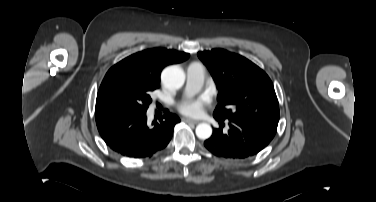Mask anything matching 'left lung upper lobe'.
I'll return each mask as SVG.
<instances>
[{"label":"left lung upper lobe","instance_id":"5c2ea615","mask_svg":"<svg viewBox=\"0 0 376 202\" xmlns=\"http://www.w3.org/2000/svg\"><path fill=\"white\" fill-rule=\"evenodd\" d=\"M219 89L214 117L254 120L277 128L279 105L272 81L248 59L223 49L198 53Z\"/></svg>","mask_w":376,"mask_h":202}]
</instances>
